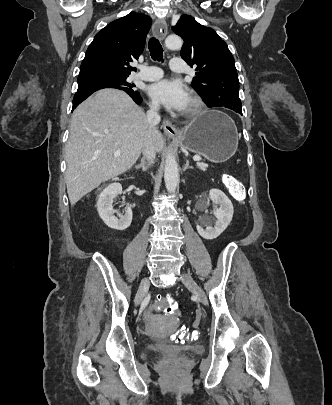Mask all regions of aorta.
Wrapping results in <instances>:
<instances>
[{
    "mask_svg": "<svg viewBox=\"0 0 332 405\" xmlns=\"http://www.w3.org/2000/svg\"><path fill=\"white\" fill-rule=\"evenodd\" d=\"M183 41L177 35H170L165 40V46L168 49H180ZM165 186L169 193H174L179 182V169L176 158L173 154H167L164 168Z\"/></svg>",
    "mask_w": 332,
    "mask_h": 405,
    "instance_id": "1",
    "label": "aorta"
}]
</instances>
